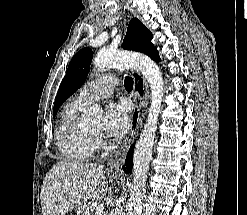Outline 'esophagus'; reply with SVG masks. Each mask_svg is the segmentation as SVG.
Returning a JSON list of instances; mask_svg holds the SVG:
<instances>
[{"instance_id": "1", "label": "esophagus", "mask_w": 247, "mask_h": 215, "mask_svg": "<svg viewBox=\"0 0 247 215\" xmlns=\"http://www.w3.org/2000/svg\"><path fill=\"white\" fill-rule=\"evenodd\" d=\"M132 77L134 81V92L132 94L134 109L130 119V131L123 145L107 163L106 170L108 172L121 173V166L124 163L127 151L142 124L144 111L147 107V99L149 96L148 84L145 78L136 70H132Z\"/></svg>"}]
</instances>
